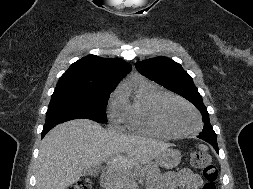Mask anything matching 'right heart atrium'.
Listing matches in <instances>:
<instances>
[{
	"instance_id": "obj_1",
	"label": "right heart atrium",
	"mask_w": 253,
	"mask_h": 189,
	"mask_svg": "<svg viewBox=\"0 0 253 189\" xmlns=\"http://www.w3.org/2000/svg\"><path fill=\"white\" fill-rule=\"evenodd\" d=\"M126 100L124 91H114L107 104V114L111 123L119 125L125 122Z\"/></svg>"
}]
</instances>
